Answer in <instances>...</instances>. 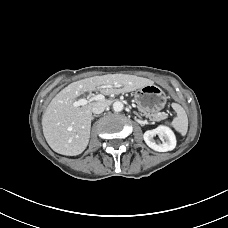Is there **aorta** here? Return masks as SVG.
<instances>
[{
  "instance_id": "obj_1",
  "label": "aorta",
  "mask_w": 228,
  "mask_h": 228,
  "mask_svg": "<svg viewBox=\"0 0 228 228\" xmlns=\"http://www.w3.org/2000/svg\"><path fill=\"white\" fill-rule=\"evenodd\" d=\"M123 107H124V105H123V103L120 102V101H116V102L113 103V110H114L115 112H120V111H122V110H123Z\"/></svg>"
}]
</instances>
